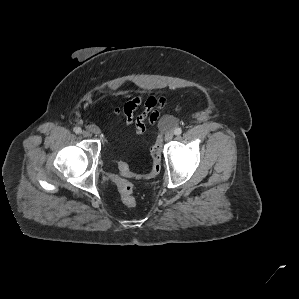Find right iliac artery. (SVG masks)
<instances>
[{"label": "right iliac artery", "mask_w": 299, "mask_h": 299, "mask_svg": "<svg viewBox=\"0 0 299 299\" xmlns=\"http://www.w3.org/2000/svg\"><path fill=\"white\" fill-rule=\"evenodd\" d=\"M73 131L76 133V134H80L82 132V129L80 127H75L73 129Z\"/></svg>", "instance_id": "right-iliac-artery-1"}]
</instances>
